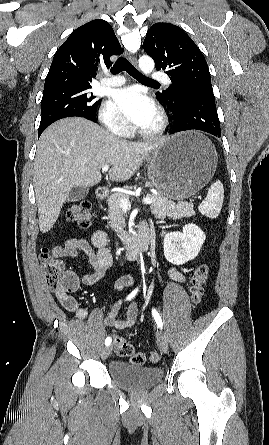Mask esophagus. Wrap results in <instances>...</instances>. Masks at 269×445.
Instances as JSON below:
<instances>
[{
	"mask_svg": "<svg viewBox=\"0 0 269 445\" xmlns=\"http://www.w3.org/2000/svg\"><path fill=\"white\" fill-rule=\"evenodd\" d=\"M127 58H128V60L133 64V65H137V61H136V58L132 55V54H127Z\"/></svg>",
	"mask_w": 269,
	"mask_h": 445,
	"instance_id": "obj_1",
	"label": "esophagus"
}]
</instances>
